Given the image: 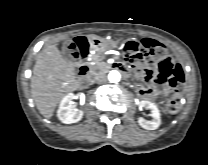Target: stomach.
Segmentation results:
<instances>
[{
  "mask_svg": "<svg viewBox=\"0 0 208 165\" xmlns=\"http://www.w3.org/2000/svg\"><path fill=\"white\" fill-rule=\"evenodd\" d=\"M87 39L90 49L98 53L116 48L119 44L118 40L106 39L99 36H88Z\"/></svg>",
  "mask_w": 208,
  "mask_h": 165,
  "instance_id": "obj_1",
  "label": "stomach"
}]
</instances>
